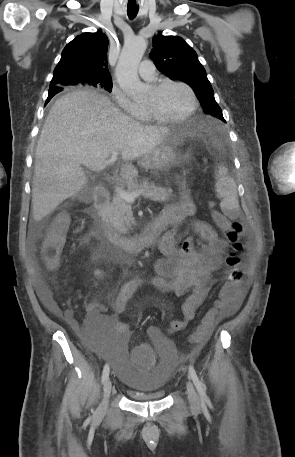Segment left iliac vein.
I'll list each match as a JSON object with an SVG mask.
<instances>
[{
    "label": "left iliac vein",
    "instance_id": "obj_1",
    "mask_svg": "<svg viewBox=\"0 0 295 457\" xmlns=\"http://www.w3.org/2000/svg\"><path fill=\"white\" fill-rule=\"evenodd\" d=\"M186 392L190 406L198 408L200 406V399L191 381H187L186 383Z\"/></svg>",
    "mask_w": 295,
    "mask_h": 457
}]
</instances>
